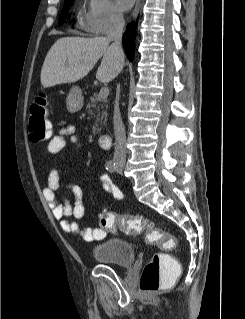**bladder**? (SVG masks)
Segmentation results:
<instances>
[{
  "mask_svg": "<svg viewBox=\"0 0 245 319\" xmlns=\"http://www.w3.org/2000/svg\"><path fill=\"white\" fill-rule=\"evenodd\" d=\"M92 255L100 263L130 266L135 260V248L132 243L124 239L108 238L94 246Z\"/></svg>",
  "mask_w": 245,
  "mask_h": 319,
  "instance_id": "1",
  "label": "bladder"
}]
</instances>
